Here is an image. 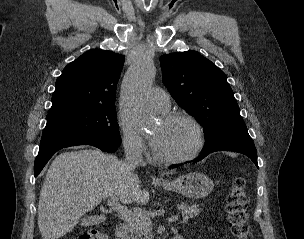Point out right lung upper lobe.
Masks as SVG:
<instances>
[{
  "label": "right lung upper lobe",
  "instance_id": "right-lung-upper-lobe-1",
  "mask_svg": "<svg viewBox=\"0 0 304 239\" xmlns=\"http://www.w3.org/2000/svg\"><path fill=\"white\" fill-rule=\"evenodd\" d=\"M124 56L90 50L68 64L56 80L49 113L66 109L115 105V91Z\"/></svg>",
  "mask_w": 304,
  "mask_h": 239
}]
</instances>
